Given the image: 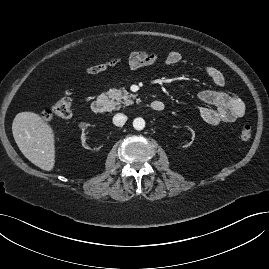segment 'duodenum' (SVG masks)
I'll use <instances>...</instances> for the list:
<instances>
[{"mask_svg": "<svg viewBox=\"0 0 269 269\" xmlns=\"http://www.w3.org/2000/svg\"><path fill=\"white\" fill-rule=\"evenodd\" d=\"M108 100L105 96H100L96 100L93 101L91 105V109L95 114H102L107 110ZM150 108L152 111L156 113H160L165 109V104L161 100H154L150 104Z\"/></svg>", "mask_w": 269, "mask_h": 269, "instance_id": "duodenum-1", "label": "duodenum"}]
</instances>
